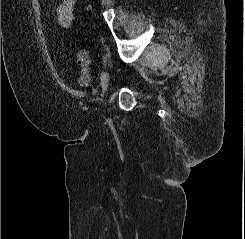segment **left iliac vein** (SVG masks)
Wrapping results in <instances>:
<instances>
[{
  "label": "left iliac vein",
  "instance_id": "obj_1",
  "mask_svg": "<svg viewBox=\"0 0 245 239\" xmlns=\"http://www.w3.org/2000/svg\"><path fill=\"white\" fill-rule=\"evenodd\" d=\"M108 82H109V73H108V72H105L104 80H103V82L101 83L103 95L105 94V91H106V89H107V87H108Z\"/></svg>",
  "mask_w": 245,
  "mask_h": 239
}]
</instances>
